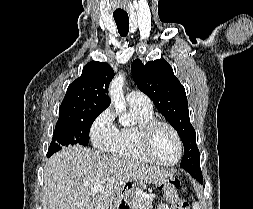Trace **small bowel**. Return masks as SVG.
I'll return each instance as SVG.
<instances>
[{
  "label": "small bowel",
  "mask_w": 253,
  "mask_h": 209,
  "mask_svg": "<svg viewBox=\"0 0 253 209\" xmlns=\"http://www.w3.org/2000/svg\"><path fill=\"white\" fill-rule=\"evenodd\" d=\"M157 209H176V207H175V205L172 207H169L166 203H161V204H159Z\"/></svg>",
  "instance_id": "1"
}]
</instances>
